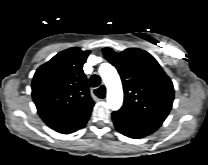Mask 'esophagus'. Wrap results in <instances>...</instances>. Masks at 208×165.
Returning <instances> with one entry per match:
<instances>
[{"label": "esophagus", "mask_w": 208, "mask_h": 165, "mask_svg": "<svg viewBox=\"0 0 208 165\" xmlns=\"http://www.w3.org/2000/svg\"><path fill=\"white\" fill-rule=\"evenodd\" d=\"M101 87H103L105 89V86L104 85H101ZM104 99H105V97L103 99H101V100H104Z\"/></svg>", "instance_id": "obj_1"}]
</instances>
